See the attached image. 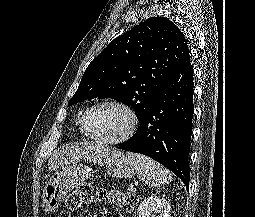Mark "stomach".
Listing matches in <instances>:
<instances>
[{
    "label": "stomach",
    "instance_id": "stomach-1",
    "mask_svg": "<svg viewBox=\"0 0 255 217\" xmlns=\"http://www.w3.org/2000/svg\"><path fill=\"white\" fill-rule=\"evenodd\" d=\"M96 161L105 165L107 172L117 178H130L135 172L128 157L117 150L108 152ZM90 171L89 167L79 163H72L58 169L43 190L44 211L48 214L55 212L66 195L90 176Z\"/></svg>",
    "mask_w": 255,
    "mask_h": 217
}]
</instances>
